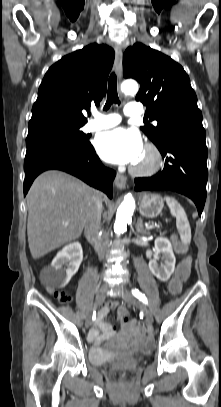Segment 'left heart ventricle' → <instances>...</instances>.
Masks as SVG:
<instances>
[{
    "instance_id": "left-heart-ventricle-1",
    "label": "left heart ventricle",
    "mask_w": 221,
    "mask_h": 407,
    "mask_svg": "<svg viewBox=\"0 0 221 407\" xmlns=\"http://www.w3.org/2000/svg\"><path fill=\"white\" fill-rule=\"evenodd\" d=\"M151 160L152 159H151L150 154L147 151L143 150L140 158L135 163V166H137V167H147L148 165H150Z\"/></svg>"
}]
</instances>
